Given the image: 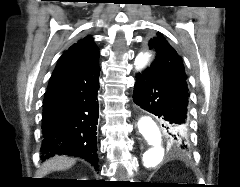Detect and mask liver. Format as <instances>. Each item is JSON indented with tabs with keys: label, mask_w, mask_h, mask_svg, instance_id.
<instances>
[{
	"label": "liver",
	"mask_w": 240,
	"mask_h": 187,
	"mask_svg": "<svg viewBox=\"0 0 240 187\" xmlns=\"http://www.w3.org/2000/svg\"><path fill=\"white\" fill-rule=\"evenodd\" d=\"M75 164V159L67 156H55L43 163L40 175L44 176L50 171L64 170Z\"/></svg>",
	"instance_id": "6515ba94"
}]
</instances>
